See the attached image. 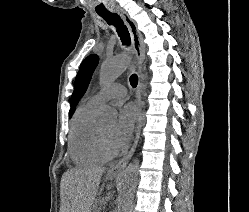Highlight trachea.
Instances as JSON below:
<instances>
[{"label":"trachea","mask_w":249,"mask_h":212,"mask_svg":"<svg viewBox=\"0 0 249 212\" xmlns=\"http://www.w3.org/2000/svg\"><path fill=\"white\" fill-rule=\"evenodd\" d=\"M99 15L106 20L108 25H114L117 29V33L121 38L123 45H130V34L127 27L124 25V22L121 20L117 13H99ZM130 84L135 88L138 84V77L136 74H132L130 77Z\"/></svg>","instance_id":"trachea-1"}]
</instances>
